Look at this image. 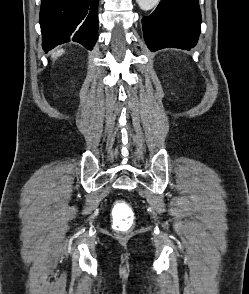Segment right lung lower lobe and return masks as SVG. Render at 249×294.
<instances>
[{"label":"right lung lower lobe","mask_w":249,"mask_h":294,"mask_svg":"<svg viewBox=\"0 0 249 294\" xmlns=\"http://www.w3.org/2000/svg\"><path fill=\"white\" fill-rule=\"evenodd\" d=\"M99 0H42V47L49 51L70 41L92 50L98 35Z\"/></svg>","instance_id":"1"}]
</instances>
